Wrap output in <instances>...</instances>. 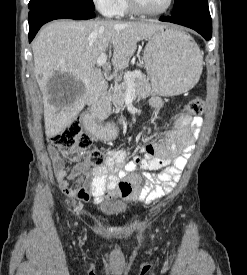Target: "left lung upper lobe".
Returning <instances> with one entry per match:
<instances>
[{"label": "left lung upper lobe", "instance_id": "obj_1", "mask_svg": "<svg viewBox=\"0 0 247 275\" xmlns=\"http://www.w3.org/2000/svg\"><path fill=\"white\" fill-rule=\"evenodd\" d=\"M207 10H209L207 0H175L172 16L179 17Z\"/></svg>", "mask_w": 247, "mask_h": 275}]
</instances>
